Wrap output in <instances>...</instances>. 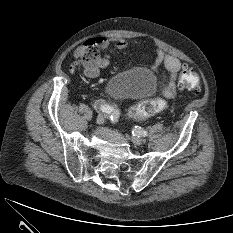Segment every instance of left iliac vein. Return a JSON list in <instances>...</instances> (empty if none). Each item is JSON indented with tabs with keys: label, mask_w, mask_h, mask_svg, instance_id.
<instances>
[{
	"label": "left iliac vein",
	"mask_w": 233,
	"mask_h": 233,
	"mask_svg": "<svg viewBox=\"0 0 233 233\" xmlns=\"http://www.w3.org/2000/svg\"><path fill=\"white\" fill-rule=\"evenodd\" d=\"M132 142L136 145H141L143 143V138L137 134L132 136Z\"/></svg>",
	"instance_id": "left-iliac-vein-1"
}]
</instances>
